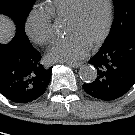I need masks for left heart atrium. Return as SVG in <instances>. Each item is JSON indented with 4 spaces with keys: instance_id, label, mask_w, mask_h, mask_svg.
<instances>
[{
    "instance_id": "39dd6f15",
    "label": "left heart atrium",
    "mask_w": 135,
    "mask_h": 135,
    "mask_svg": "<svg viewBox=\"0 0 135 135\" xmlns=\"http://www.w3.org/2000/svg\"><path fill=\"white\" fill-rule=\"evenodd\" d=\"M89 44L76 35L56 42L47 53V58L53 62H72L83 58Z\"/></svg>"
}]
</instances>
